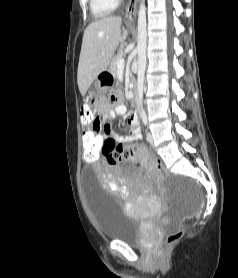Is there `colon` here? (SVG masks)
Returning a JSON list of instances; mask_svg holds the SVG:
<instances>
[{
	"label": "colon",
	"mask_w": 238,
	"mask_h": 278,
	"mask_svg": "<svg viewBox=\"0 0 238 278\" xmlns=\"http://www.w3.org/2000/svg\"><path fill=\"white\" fill-rule=\"evenodd\" d=\"M110 100H115V98L111 97ZM98 116L99 114L96 112L94 105L86 104L82 110V120L80 121V124L91 125L98 118ZM81 135L94 136L95 132L82 131ZM83 141L85 149V151H83V156L85 162H98V159H103V154H100L102 151L110 164H116L123 159L141 157L147 160L150 166L156 170L160 177H167L168 172L163 162L159 158H152L149 156L147 151L141 146L128 145L124 147L113 142L106 144L103 137H84ZM102 146H104L103 149ZM182 235L183 229H178L169 233L166 237V244H174L182 237Z\"/></svg>",
	"instance_id": "obj_1"
}]
</instances>
